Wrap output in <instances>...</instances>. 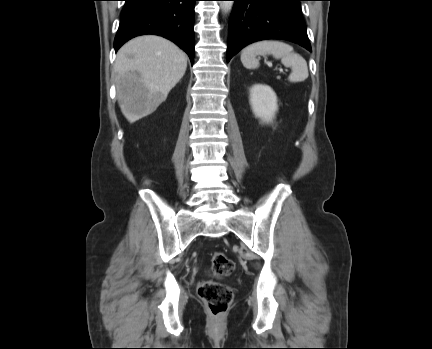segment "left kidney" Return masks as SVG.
<instances>
[{
	"mask_svg": "<svg viewBox=\"0 0 432 349\" xmlns=\"http://www.w3.org/2000/svg\"><path fill=\"white\" fill-rule=\"evenodd\" d=\"M250 103L256 117L272 122L278 110L277 96L268 85L255 84L250 89Z\"/></svg>",
	"mask_w": 432,
	"mask_h": 349,
	"instance_id": "1",
	"label": "left kidney"
}]
</instances>
